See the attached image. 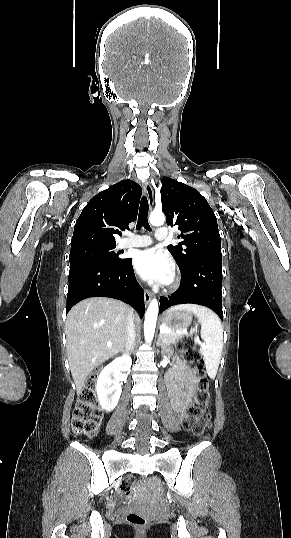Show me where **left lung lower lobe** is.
Listing matches in <instances>:
<instances>
[{
    "label": "left lung lower lobe",
    "mask_w": 291,
    "mask_h": 538,
    "mask_svg": "<svg viewBox=\"0 0 291 538\" xmlns=\"http://www.w3.org/2000/svg\"><path fill=\"white\" fill-rule=\"evenodd\" d=\"M181 271L182 284L168 297H160L159 312L177 304H198L212 309L223 320L222 258H201Z\"/></svg>",
    "instance_id": "1"
}]
</instances>
